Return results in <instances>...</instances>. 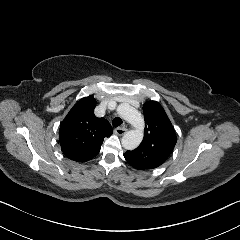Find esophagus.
<instances>
[{
    "label": "esophagus",
    "instance_id": "34e87169",
    "mask_svg": "<svg viewBox=\"0 0 240 240\" xmlns=\"http://www.w3.org/2000/svg\"><path fill=\"white\" fill-rule=\"evenodd\" d=\"M126 132H127V129L124 128V127H117V128H115V130H114V133H115L116 135H124Z\"/></svg>",
    "mask_w": 240,
    "mask_h": 240
}]
</instances>
